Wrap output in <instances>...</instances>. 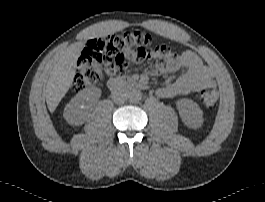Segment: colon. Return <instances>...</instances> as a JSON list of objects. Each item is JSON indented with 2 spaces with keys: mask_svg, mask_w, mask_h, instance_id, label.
Segmentation results:
<instances>
[{
  "mask_svg": "<svg viewBox=\"0 0 265 202\" xmlns=\"http://www.w3.org/2000/svg\"><path fill=\"white\" fill-rule=\"evenodd\" d=\"M165 52V47L155 44L151 35L142 31L104 36L90 55L78 61L72 89L79 92L101 82L106 76L123 74L130 59L143 62ZM199 97L206 109L213 110L217 107L219 89L216 86L205 87Z\"/></svg>",
  "mask_w": 265,
  "mask_h": 202,
  "instance_id": "5ec220e1",
  "label": "colon"
}]
</instances>
